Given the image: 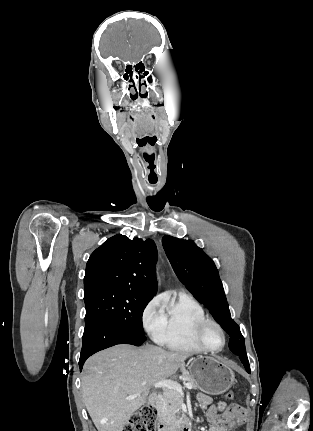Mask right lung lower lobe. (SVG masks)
<instances>
[{
    "label": "right lung lower lobe",
    "mask_w": 313,
    "mask_h": 431,
    "mask_svg": "<svg viewBox=\"0 0 313 431\" xmlns=\"http://www.w3.org/2000/svg\"><path fill=\"white\" fill-rule=\"evenodd\" d=\"M144 341L145 336L135 334L116 323L98 321L85 327L79 360L80 370L86 359L100 350L122 343L140 346Z\"/></svg>",
    "instance_id": "obj_1"
}]
</instances>
